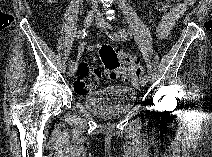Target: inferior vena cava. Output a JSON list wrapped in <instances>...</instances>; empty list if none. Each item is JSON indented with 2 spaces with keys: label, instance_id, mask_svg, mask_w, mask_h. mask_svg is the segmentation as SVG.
<instances>
[{
  "label": "inferior vena cava",
  "instance_id": "602c4592",
  "mask_svg": "<svg viewBox=\"0 0 212 157\" xmlns=\"http://www.w3.org/2000/svg\"><path fill=\"white\" fill-rule=\"evenodd\" d=\"M91 2H92V5H93L92 8H93V9H96V8H97V5L94 3V2H96V1L92 0Z\"/></svg>",
  "mask_w": 212,
  "mask_h": 157
}]
</instances>
